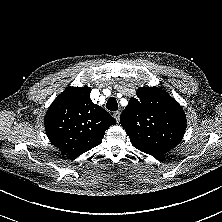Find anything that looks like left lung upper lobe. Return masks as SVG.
Returning a JSON list of instances; mask_svg holds the SVG:
<instances>
[{"mask_svg": "<svg viewBox=\"0 0 222 222\" xmlns=\"http://www.w3.org/2000/svg\"><path fill=\"white\" fill-rule=\"evenodd\" d=\"M131 97L120 123L137 149L171 150L183 138L186 116L182 107L158 87H141Z\"/></svg>", "mask_w": 222, "mask_h": 222, "instance_id": "left-lung-upper-lobe-1", "label": "left lung upper lobe"}]
</instances>
